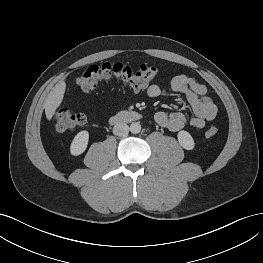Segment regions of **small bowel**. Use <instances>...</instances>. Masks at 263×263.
I'll return each mask as SVG.
<instances>
[{
  "label": "small bowel",
  "instance_id": "c3829d8e",
  "mask_svg": "<svg viewBox=\"0 0 263 263\" xmlns=\"http://www.w3.org/2000/svg\"><path fill=\"white\" fill-rule=\"evenodd\" d=\"M167 92L183 95L194 115L188 119L181 111L171 113L158 111L154 118L156 123L161 127L177 132L183 129L188 123L195 128H203L206 123L215 119L217 114L215 103L207 95L206 87L192 77L179 74L169 81L166 89L158 84H152L147 89V94L151 98L160 97Z\"/></svg>",
  "mask_w": 263,
  "mask_h": 263
}]
</instances>
